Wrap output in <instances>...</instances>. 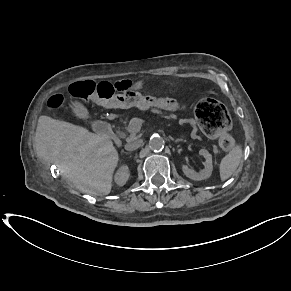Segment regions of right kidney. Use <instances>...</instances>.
I'll list each match as a JSON object with an SVG mask.
<instances>
[{
  "label": "right kidney",
  "mask_w": 291,
  "mask_h": 291,
  "mask_svg": "<svg viewBox=\"0 0 291 291\" xmlns=\"http://www.w3.org/2000/svg\"><path fill=\"white\" fill-rule=\"evenodd\" d=\"M129 168L127 165L121 166L115 174V183L118 186H123L129 178Z\"/></svg>",
  "instance_id": "ca27d5eb"
}]
</instances>
